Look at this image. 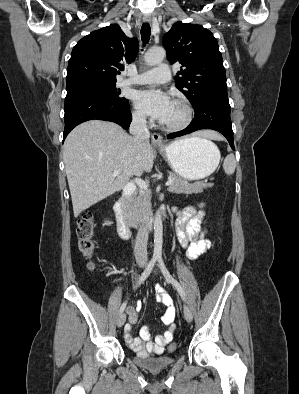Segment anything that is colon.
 <instances>
[{"instance_id": "5ec220e1", "label": "colon", "mask_w": 299, "mask_h": 394, "mask_svg": "<svg viewBox=\"0 0 299 394\" xmlns=\"http://www.w3.org/2000/svg\"><path fill=\"white\" fill-rule=\"evenodd\" d=\"M95 234V224L93 220V215L91 212H85L81 219L78 221L77 226V236H78V246L82 254L91 259L94 256L96 250V244L94 241ZM176 346L171 344L169 350H175Z\"/></svg>"}]
</instances>
